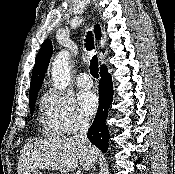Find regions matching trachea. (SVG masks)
Here are the masks:
<instances>
[{
    "instance_id": "3493384b",
    "label": "trachea",
    "mask_w": 175,
    "mask_h": 174,
    "mask_svg": "<svg viewBox=\"0 0 175 174\" xmlns=\"http://www.w3.org/2000/svg\"><path fill=\"white\" fill-rule=\"evenodd\" d=\"M86 44L85 47L88 51H91L94 49V40L92 37V32H89L87 35V39L85 40ZM90 73L94 78H98V59L97 55H93L91 62H90Z\"/></svg>"
}]
</instances>
